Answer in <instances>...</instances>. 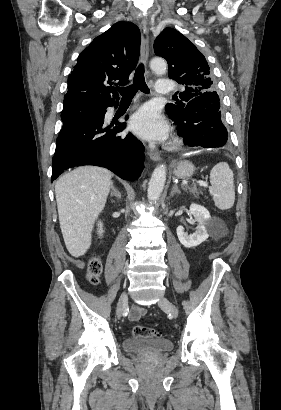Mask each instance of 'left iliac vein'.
<instances>
[{
  "mask_svg": "<svg viewBox=\"0 0 281 410\" xmlns=\"http://www.w3.org/2000/svg\"><path fill=\"white\" fill-rule=\"evenodd\" d=\"M158 305L166 309L174 318L178 317V308L166 297H162L158 301Z\"/></svg>",
  "mask_w": 281,
  "mask_h": 410,
  "instance_id": "obj_1",
  "label": "left iliac vein"
}]
</instances>
